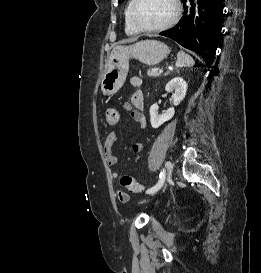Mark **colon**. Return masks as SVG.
<instances>
[{
    "mask_svg": "<svg viewBox=\"0 0 261 273\" xmlns=\"http://www.w3.org/2000/svg\"><path fill=\"white\" fill-rule=\"evenodd\" d=\"M106 123L110 126H115L119 122V112L114 108H108L104 112ZM120 184L123 188L127 189L131 193H140L143 190V186L131 175H124L120 179Z\"/></svg>",
    "mask_w": 261,
    "mask_h": 273,
    "instance_id": "obj_1",
    "label": "colon"
}]
</instances>
